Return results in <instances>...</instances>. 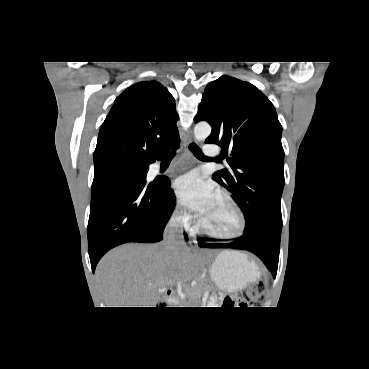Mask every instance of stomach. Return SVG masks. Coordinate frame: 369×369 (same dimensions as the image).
<instances>
[{"label": "stomach", "instance_id": "0dacf381", "mask_svg": "<svg viewBox=\"0 0 369 369\" xmlns=\"http://www.w3.org/2000/svg\"><path fill=\"white\" fill-rule=\"evenodd\" d=\"M215 284L225 292H236L259 277L258 268L245 254L221 252L210 267Z\"/></svg>", "mask_w": 369, "mask_h": 369}]
</instances>
